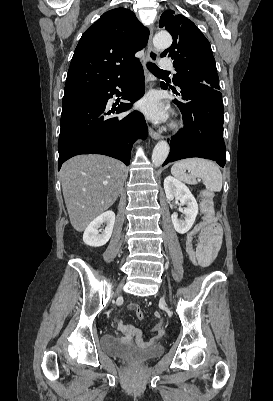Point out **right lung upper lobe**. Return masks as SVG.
Wrapping results in <instances>:
<instances>
[{"label":"right lung upper lobe","instance_id":"obj_1","mask_svg":"<svg viewBox=\"0 0 273 401\" xmlns=\"http://www.w3.org/2000/svg\"><path fill=\"white\" fill-rule=\"evenodd\" d=\"M148 37V29L131 10L115 8L104 13L79 40L64 97L95 91L128 74L140 63L134 54L145 47Z\"/></svg>","mask_w":273,"mask_h":401}]
</instances>
